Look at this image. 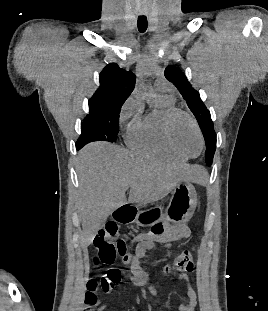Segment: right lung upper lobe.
Segmentation results:
<instances>
[{
    "label": "right lung upper lobe",
    "mask_w": 268,
    "mask_h": 311,
    "mask_svg": "<svg viewBox=\"0 0 268 311\" xmlns=\"http://www.w3.org/2000/svg\"><path fill=\"white\" fill-rule=\"evenodd\" d=\"M100 87L90 101L121 106L132 93L136 77L131 71L121 69L116 63H110L100 73Z\"/></svg>",
    "instance_id": "cb5924a9"
}]
</instances>
